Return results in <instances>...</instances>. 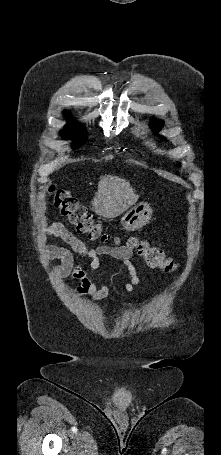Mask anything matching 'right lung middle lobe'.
I'll list each match as a JSON object with an SVG mask.
<instances>
[{
  "label": "right lung middle lobe",
  "instance_id": "right-lung-middle-lobe-1",
  "mask_svg": "<svg viewBox=\"0 0 221 455\" xmlns=\"http://www.w3.org/2000/svg\"><path fill=\"white\" fill-rule=\"evenodd\" d=\"M61 135L67 139H76L73 144V148H79L86 141V131L77 130V127L72 122L64 127V129L61 131Z\"/></svg>",
  "mask_w": 221,
  "mask_h": 455
}]
</instances>
